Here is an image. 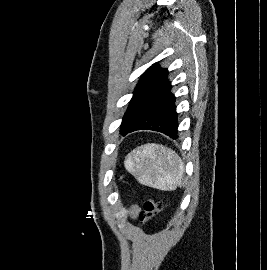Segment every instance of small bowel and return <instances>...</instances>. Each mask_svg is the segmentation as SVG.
Listing matches in <instances>:
<instances>
[{"label":"small bowel","mask_w":267,"mask_h":270,"mask_svg":"<svg viewBox=\"0 0 267 270\" xmlns=\"http://www.w3.org/2000/svg\"><path fill=\"white\" fill-rule=\"evenodd\" d=\"M139 213H140V208L138 206H133L130 209V216H131V218L137 217Z\"/></svg>","instance_id":"small-bowel-1"}]
</instances>
